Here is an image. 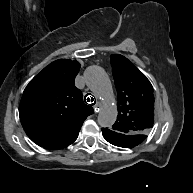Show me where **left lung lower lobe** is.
<instances>
[{
  "instance_id": "0a47b994",
  "label": "left lung lower lobe",
  "mask_w": 193,
  "mask_h": 193,
  "mask_svg": "<svg viewBox=\"0 0 193 193\" xmlns=\"http://www.w3.org/2000/svg\"><path fill=\"white\" fill-rule=\"evenodd\" d=\"M104 138L111 144L124 148H131L140 144L145 138L133 139L132 136L117 133L107 128H102Z\"/></svg>"
}]
</instances>
